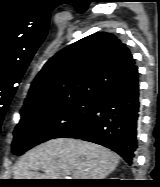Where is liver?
<instances>
[{
  "instance_id": "obj_1",
  "label": "liver",
  "mask_w": 160,
  "mask_h": 187,
  "mask_svg": "<svg viewBox=\"0 0 160 187\" xmlns=\"http://www.w3.org/2000/svg\"><path fill=\"white\" fill-rule=\"evenodd\" d=\"M118 163L119 156L103 146L57 138L26 152L15 167L14 179H61L71 173L72 179H104Z\"/></svg>"
}]
</instances>
